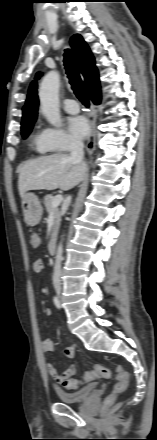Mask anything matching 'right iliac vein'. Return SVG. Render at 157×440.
<instances>
[{"label": "right iliac vein", "instance_id": "obj_1", "mask_svg": "<svg viewBox=\"0 0 157 440\" xmlns=\"http://www.w3.org/2000/svg\"><path fill=\"white\" fill-rule=\"evenodd\" d=\"M58 294H60V289H58Z\"/></svg>", "mask_w": 157, "mask_h": 440}]
</instances>
